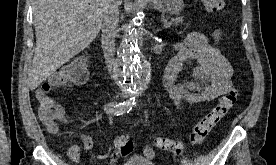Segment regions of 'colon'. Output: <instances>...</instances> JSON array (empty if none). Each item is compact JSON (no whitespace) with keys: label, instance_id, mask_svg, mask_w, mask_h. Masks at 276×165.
<instances>
[{"label":"colon","instance_id":"1","mask_svg":"<svg viewBox=\"0 0 276 165\" xmlns=\"http://www.w3.org/2000/svg\"><path fill=\"white\" fill-rule=\"evenodd\" d=\"M203 3L206 10L211 13L221 12L225 7L224 0H203ZM87 74V59L79 57L67 63L53 76L49 83L44 84L37 90L36 99L39 106V117L50 129L56 130L65 122V113L62 106L52 97L53 89L69 86L72 83H82L86 80ZM237 96V90H230L194 125L189 134V143L191 145H199L205 140L211 130L234 106ZM156 145L161 149L173 151L176 154L182 152L181 143L170 138L160 137L156 140ZM114 146L118 155L122 157L130 155L133 151V142L126 135L117 136L114 140ZM149 155H152L150 151Z\"/></svg>","mask_w":276,"mask_h":165}]
</instances>
